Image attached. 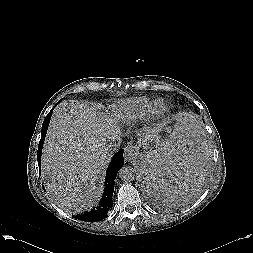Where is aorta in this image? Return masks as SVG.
I'll list each match as a JSON object with an SVG mask.
<instances>
[{"mask_svg": "<svg viewBox=\"0 0 253 253\" xmlns=\"http://www.w3.org/2000/svg\"><path fill=\"white\" fill-rule=\"evenodd\" d=\"M119 177L122 181H132L135 178V171L132 167L130 166H123L119 170Z\"/></svg>", "mask_w": 253, "mask_h": 253, "instance_id": "obj_1", "label": "aorta"}]
</instances>
